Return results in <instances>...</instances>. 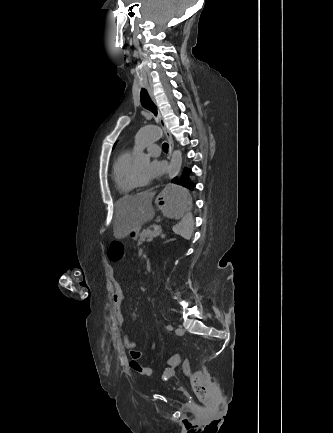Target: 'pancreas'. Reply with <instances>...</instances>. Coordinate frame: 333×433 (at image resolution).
Listing matches in <instances>:
<instances>
[{
    "label": "pancreas",
    "instance_id": "obj_1",
    "mask_svg": "<svg viewBox=\"0 0 333 433\" xmlns=\"http://www.w3.org/2000/svg\"><path fill=\"white\" fill-rule=\"evenodd\" d=\"M161 230V225H152L150 228L144 229L140 232L138 238V246L141 245L151 235Z\"/></svg>",
    "mask_w": 333,
    "mask_h": 433
}]
</instances>
